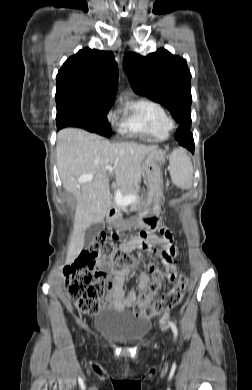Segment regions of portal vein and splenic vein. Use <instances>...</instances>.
Here are the masks:
<instances>
[{
  "label": "portal vein and splenic vein",
  "instance_id": "1",
  "mask_svg": "<svg viewBox=\"0 0 252 390\" xmlns=\"http://www.w3.org/2000/svg\"><path fill=\"white\" fill-rule=\"evenodd\" d=\"M107 170H111V166H106L105 167ZM93 179V175L92 174H86V175H82L80 176V178L78 179V181L80 183L82 182H88V181H91ZM136 201V196L135 195H127L126 197L123 198V196L121 195V192L118 191L116 193V202L120 205H126V204H129L131 202H135Z\"/></svg>",
  "mask_w": 252,
  "mask_h": 390
}]
</instances>
